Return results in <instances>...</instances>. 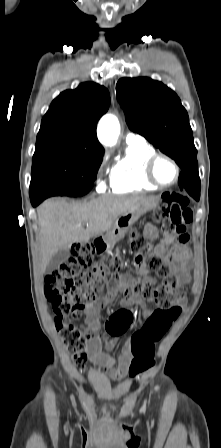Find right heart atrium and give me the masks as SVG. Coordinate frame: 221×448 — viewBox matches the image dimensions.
I'll return each instance as SVG.
<instances>
[{"mask_svg": "<svg viewBox=\"0 0 221 448\" xmlns=\"http://www.w3.org/2000/svg\"><path fill=\"white\" fill-rule=\"evenodd\" d=\"M104 164H105V159L102 160L99 171H98V175H97V188L100 191L104 190L106 187L105 179L103 178V175H102V170H103Z\"/></svg>", "mask_w": 221, "mask_h": 448, "instance_id": "1", "label": "right heart atrium"}]
</instances>
